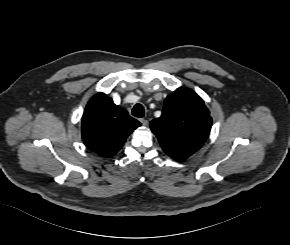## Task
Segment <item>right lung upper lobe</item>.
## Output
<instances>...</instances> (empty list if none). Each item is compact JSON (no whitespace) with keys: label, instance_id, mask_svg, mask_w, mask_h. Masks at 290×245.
<instances>
[{"label":"right lung upper lobe","instance_id":"right-lung-upper-lobe-1","mask_svg":"<svg viewBox=\"0 0 290 245\" xmlns=\"http://www.w3.org/2000/svg\"><path fill=\"white\" fill-rule=\"evenodd\" d=\"M140 125L110 97L97 93L88 102L82 117V139L90 150L110 157L121 149L128 135Z\"/></svg>","mask_w":290,"mask_h":245}]
</instances>
